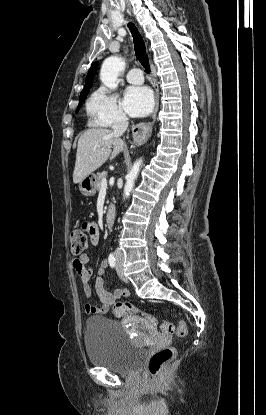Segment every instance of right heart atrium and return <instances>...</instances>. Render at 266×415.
<instances>
[{"label":"right heart atrium","mask_w":266,"mask_h":415,"mask_svg":"<svg viewBox=\"0 0 266 415\" xmlns=\"http://www.w3.org/2000/svg\"><path fill=\"white\" fill-rule=\"evenodd\" d=\"M91 121L101 127H109L127 121V115L118 103L116 95L101 87L92 93L86 104Z\"/></svg>","instance_id":"obj_1"}]
</instances>
